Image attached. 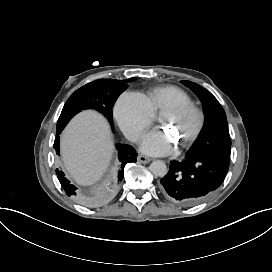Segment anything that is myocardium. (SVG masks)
I'll return each instance as SVG.
<instances>
[{
  "label": "myocardium",
  "instance_id": "f54148a6",
  "mask_svg": "<svg viewBox=\"0 0 272 272\" xmlns=\"http://www.w3.org/2000/svg\"><path fill=\"white\" fill-rule=\"evenodd\" d=\"M167 111L188 115L190 117L187 131L184 135V141L189 142L192 140V138L198 133L203 122V114L201 111L197 107L188 103H172L165 109V112Z\"/></svg>",
  "mask_w": 272,
  "mask_h": 272
}]
</instances>
